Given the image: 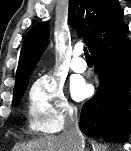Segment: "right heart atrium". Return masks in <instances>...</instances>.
<instances>
[{"label": "right heart atrium", "mask_w": 131, "mask_h": 151, "mask_svg": "<svg viewBox=\"0 0 131 151\" xmlns=\"http://www.w3.org/2000/svg\"><path fill=\"white\" fill-rule=\"evenodd\" d=\"M28 98L30 125L36 132L57 133L75 114L74 106L64 93L63 84L51 75L37 78Z\"/></svg>", "instance_id": "obj_1"}]
</instances>
